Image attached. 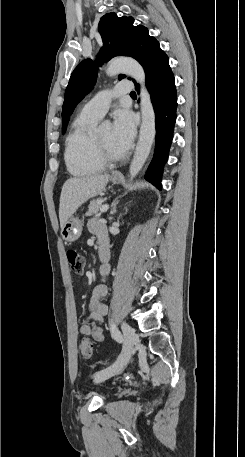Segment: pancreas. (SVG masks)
<instances>
[{
  "label": "pancreas",
  "instance_id": "1",
  "mask_svg": "<svg viewBox=\"0 0 245 457\" xmlns=\"http://www.w3.org/2000/svg\"><path fill=\"white\" fill-rule=\"evenodd\" d=\"M105 198H96V200H90V204L88 206V210L86 212L87 216H91V214H97L99 212L102 202H104Z\"/></svg>",
  "mask_w": 245,
  "mask_h": 457
}]
</instances>
